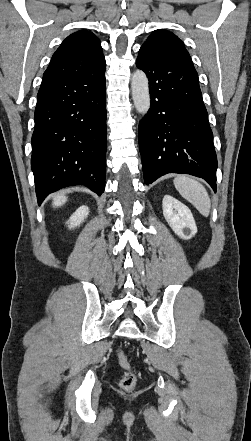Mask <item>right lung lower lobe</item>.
<instances>
[{
  "mask_svg": "<svg viewBox=\"0 0 251 441\" xmlns=\"http://www.w3.org/2000/svg\"><path fill=\"white\" fill-rule=\"evenodd\" d=\"M31 168L40 205L63 187L101 195L106 169L105 67L74 77L43 78L34 114Z\"/></svg>",
  "mask_w": 251,
  "mask_h": 441,
  "instance_id": "obj_1",
  "label": "right lung lower lobe"
}]
</instances>
